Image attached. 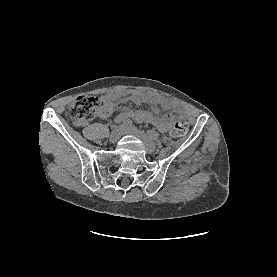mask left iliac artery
Segmentation results:
<instances>
[{
  "instance_id": "obj_1",
  "label": "left iliac artery",
  "mask_w": 277,
  "mask_h": 277,
  "mask_svg": "<svg viewBox=\"0 0 277 277\" xmlns=\"http://www.w3.org/2000/svg\"><path fill=\"white\" fill-rule=\"evenodd\" d=\"M149 137L153 140H157L159 138V134L155 132L154 130H148L147 131Z\"/></svg>"
}]
</instances>
